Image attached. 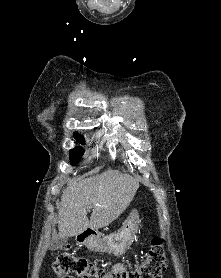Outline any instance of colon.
Instances as JSON below:
<instances>
[{
  "label": "colon",
  "instance_id": "obj_1",
  "mask_svg": "<svg viewBox=\"0 0 221 278\" xmlns=\"http://www.w3.org/2000/svg\"><path fill=\"white\" fill-rule=\"evenodd\" d=\"M165 268V249L158 237L152 240L145 259L139 265L119 274H113L94 262L69 253L58 255L54 262L55 272L65 278H161Z\"/></svg>",
  "mask_w": 221,
  "mask_h": 278
}]
</instances>
